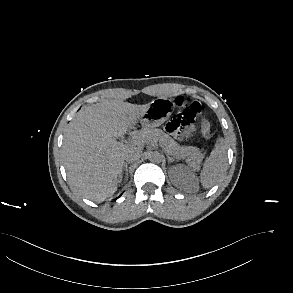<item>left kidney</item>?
Here are the masks:
<instances>
[{
  "label": "left kidney",
  "instance_id": "5707ae66",
  "mask_svg": "<svg viewBox=\"0 0 293 293\" xmlns=\"http://www.w3.org/2000/svg\"><path fill=\"white\" fill-rule=\"evenodd\" d=\"M172 183L179 188L196 191L198 182L195 174L185 165L173 166L170 170Z\"/></svg>",
  "mask_w": 293,
  "mask_h": 293
}]
</instances>
